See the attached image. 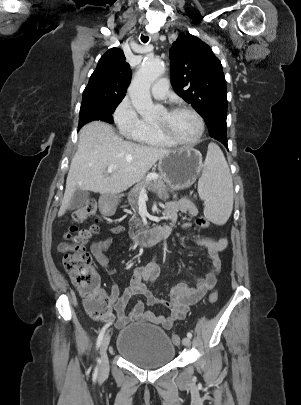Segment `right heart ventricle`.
Here are the masks:
<instances>
[{"mask_svg":"<svg viewBox=\"0 0 301 405\" xmlns=\"http://www.w3.org/2000/svg\"><path fill=\"white\" fill-rule=\"evenodd\" d=\"M138 143L157 147H168L172 144L162 138L150 122H143V125L130 136Z\"/></svg>","mask_w":301,"mask_h":405,"instance_id":"obj_1","label":"right heart ventricle"}]
</instances>
